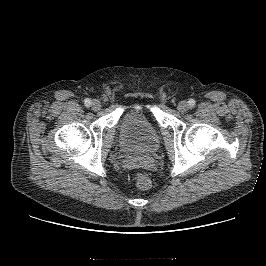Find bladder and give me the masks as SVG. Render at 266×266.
Here are the masks:
<instances>
[{
	"mask_svg": "<svg viewBox=\"0 0 266 266\" xmlns=\"http://www.w3.org/2000/svg\"><path fill=\"white\" fill-rule=\"evenodd\" d=\"M122 147L134 154H150L159 146V135L153 122L142 112H125L119 122Z\"/></svg>",
	"mask_w": 266,
	"mask_h": 266,
	"instance_id": "31cf9c89",
	"label": "bladder"
}]
</instances>
